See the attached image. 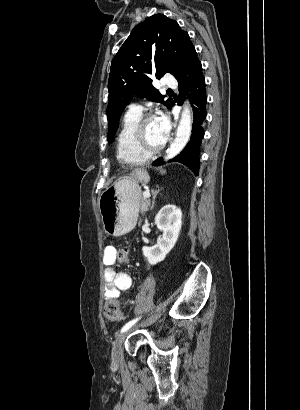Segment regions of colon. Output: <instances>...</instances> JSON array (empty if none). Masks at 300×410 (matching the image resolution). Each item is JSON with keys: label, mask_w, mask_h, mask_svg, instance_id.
I'll use <instances>...</instances> for the list:
<instances>
[{"label": "colon", "mask_w": 300, "mask_h": 410, "mask_svg": "<svg viewBox=\"0 0 300 410\" xmlns=\"http://www.w3.org/2000/svg\"><path fill=\"white\" fill-rule=\"evenodd\" d=\"M115 259L120 263L127 262L129 259V249L125 246L118 247L115 250ZM104 314L109 320H120L122 318V310L119 302L115 299H110L104 305Z\"/></svg>", "instance_id": "colon-1"}]
</instances>
